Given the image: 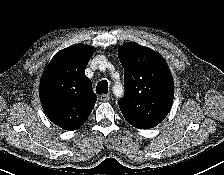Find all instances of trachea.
Instances as JSON below:
<instances>
[{
    "label": "trachea",
    "instance_id": "obj_1",
    "mask_svg": "<svg viewBox=\"0 0 224 175\" xmlns=\"http://www.w3.org/2000/svg\"><path fill=\"white\" fill-rule=\"evenodd\" d=\"M107 91H108V82L106 80L100 81L96 87V93L105 94Z\"/></svg>",
    "mask_w": 224,
    "mask_h": 175
}]
</instances>
